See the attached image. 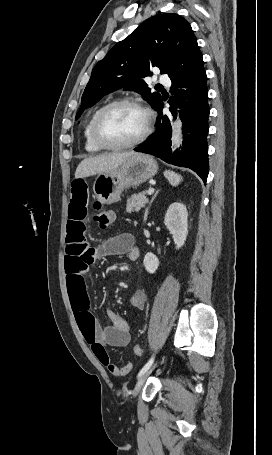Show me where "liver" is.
Listing matches in <instances>:
<instances>
[{"label":"liver","mask_w":272,"mask_h":455,"mask_svg":"<svg viewBox=\"0 0 272 455\" xmlns=\"http://www.w3.org/2000/svg\"><path fill=\"white\" fill-rule=\"evenodd\" d=\"M135 154L137 153L131 151L86 158L78 165L75 171V178H85L96 174L106 173L117 168L128 157Z\"/></svg>","instance_id":"liver-1"}]
</instances>
